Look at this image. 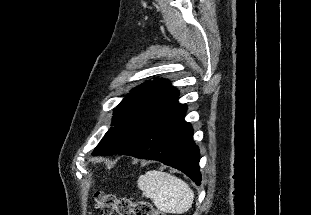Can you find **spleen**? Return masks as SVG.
<instances>
[{"instance_id":"obj_1","label":"spleen","mask_w":311,"mask_h":215,"mask_svg":"<svg viewBox=\"0 0 311 215\" xmlns=\"http://www.w3.org/2000/svg\"><path fill=\"white\" fill-rule=\"evenodd\" d=\"M143 195L153 200L154 205L169 214L187 212L194 200V192L180 178L162 171H148L137 181Z\"/></svg>"}]
</instances>
